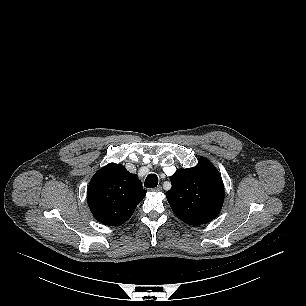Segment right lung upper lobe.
Segmentation results:
<instances>
[{"label": "right lung upper lobe", "instance_id": "obj_1", "mask_svg": "<svg viewBox=\"0 0 306 306\" xmlns=\"http://www.w3.org/2000/svg\"><path fill=\"white\" fill-rule=\"evenodd\" d=\"M87 194L95 218L102 224L117 226L131 217L146 190L137 175L120 164L110 163L92 177Z\"/></svg>", "mask_w": 306, "mask_h": 306}]
</instances>
